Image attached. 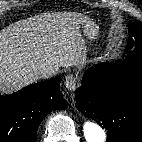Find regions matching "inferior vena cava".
Here are the masks:
<instances>
[{
  "instance_id": "obj_1",
  "label": "inferior vena cava",
  "mask_w": 142,
  "mask_h": 142,
  "mask_svg": "<svg viewBox=\"0 0 142 142\" xmlns=\"http://www.w3.org/2000/svg\"><path fill=\"white\" fill-rule=\"evenodd\" d=\"M58 69L53 66H42L36 70L35 75L38 78H49L57 73Z\"/></svg>"
}]
</instances>
